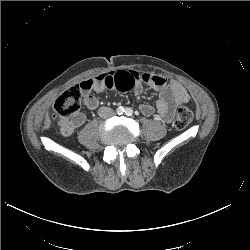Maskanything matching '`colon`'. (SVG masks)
<instances>
[{"label": "colon", "mask_w": 250, "mask_h": 250, "mask_svg": "<svg viewBox=\"0 0 250 250\" xmlns=\"http://www.w3.org/2000/svg\"><path fill=\"white\" fill-rule=\"evenodd\" d=\"M81 95L82 91L79 85L64 90L54 101V113L63 119L75 115L80 108ZM192 120L193 112L187 107H180L175 116L174 126L178 130H183L188 127Z\"/></svg>", "instance_id": "obj_1"}]
</instances>
